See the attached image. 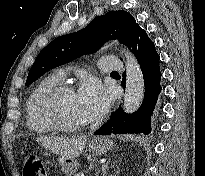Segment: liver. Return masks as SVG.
Listing matches in <instances>:
<instances>
[{
	"label": "liver",
	"instance_id": "1",
	"mask_svg": "<svg viewBox=\"0 0 205 176\" xmlns=\"http://www.w3.org/2000/svg\"><path fill=\"white\" fill-rule=\"evenodd\" d=\"M41 145L52 152L69 158L78 157L85 147L87 137L77 139H63L59 137H40L37 139Z\"/></svg>",
	"mask_w": 205,
	"mask_h": 176
}]
</instances>
